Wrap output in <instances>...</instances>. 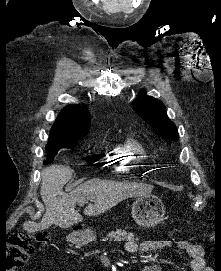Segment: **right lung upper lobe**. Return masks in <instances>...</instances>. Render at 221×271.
<instances>
[{"label":"right lung upper lobe","mask_w":221,"mask_h":271,"mask_svg":"<svg viewBox=\"0 0 221 271\" xmlns=\"http://www.w3.org/2000/svg\"><path fill=\"white\" fill-rule=\"evenodd\" d=\"M91 117L85 105L65 107L57 117L49 138H83L89 131Z\"/></svg>","instance_id":"cb5924a9"}]
</instances>
